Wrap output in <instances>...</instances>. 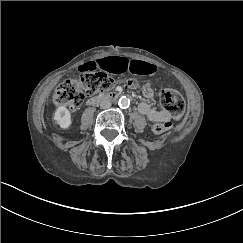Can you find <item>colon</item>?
I'll return each instance as SVG.
<instances>
[{
	"label": "colon",
	"mask_w": 243,
	"mask_h": 243,
	"mask_svg": "<svg viewBox=\"0 0 243 243\" xmlns=\"http://www.w3.org/2000/svg\"><path fill=\"white\" fill-rule=\"evenodd\" d=\"M113 80L104 73L83 72L76 78L63 81L55 90L53 100L56 106H66L71 109L78 108L86 94L106 93L112 89ZM129 88H136V80L127 82ZM162 107L173 118H180L185 110V101L182 95L173 89H165L160 95ZM172 127L169 121H159L153 124L152 130L155 134H163Z\"/></svg>",
	"instance_id": "1"
}]
</instances>
